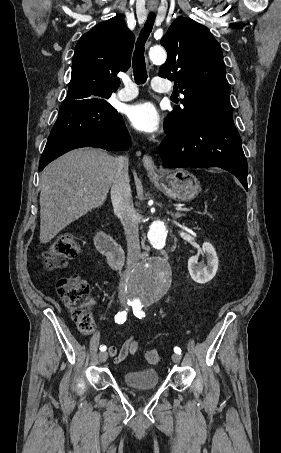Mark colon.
Masks as SVG:
<instances>
[{
  "instance_id": "5ec220e1",
  "label": "colon",
  "mask_w": 281,
  "mask_h": 453,
  "mask_svg": "<svg viewBox=\"0 0 281 453\" xmlns=\"http://www.w3.org/2000/svg\"><path fill=\"white\" fill-rule=\"evenodd\" d=\"M84 255V248L72 238L51 240L45 249V265L48 269L64 270L69 259ZM61 296L78 317V328L86 331L92 326L91 315L84 303L89 286L83 278L63 277L58 280ZM143 357L148 363H160L161 355L156 349H145Z\"/></svg>"
}]
</instances>
